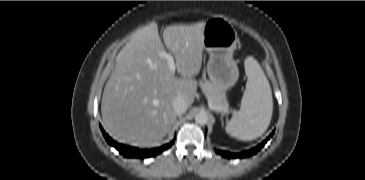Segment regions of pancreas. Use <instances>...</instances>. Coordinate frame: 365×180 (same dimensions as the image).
<instances>
[{"mask_svg": "<svg viewBox=\"0 0 365 180\" xmlns=\"http://www.w3.org/2000/svg\"><path fill=\"white\" fill-rule=\"evenodd\" d=\"M200 87L208 101L219 111L227 110V102L225 101V93L215 86L212 82L205 79L200 81Z\"/></svg>", "mask_w": 365, "mask_h": 180, "instance_id": "cf45deb5", "label": "pancreas"}]
</instances>
